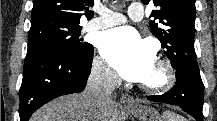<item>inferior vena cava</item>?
I'll list each match as a JSON object with an SVG mask.
<instances>
[{"label": "inferior vena cava", "mask_w": 217, "mask_h": 121, "mask_svg": "<svg viewBox=\"0 0 217 121\" xmlns=\"http://www.w3.org/2000/svg\"><path fill=\"white\" fill-rule=\"evenodd\" d=\"M120 84L118 75L105 64L92 67L83 96L97 121L108 114L114 103L112 93Z\"/></svg>", "instance_id": "obj_1"}]
</instances>
